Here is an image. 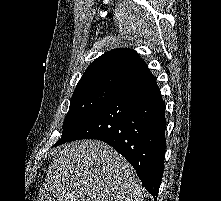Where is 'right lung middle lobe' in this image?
I'll list each match as a JSON object with an SVG mask.
<instances>
[{"mask_svg": "<svg viewBox=\"0 0 221 201\" xmlns=\"http://www.w3.org/2000/svg\"><path fill=\"white\" fill-rule=\"evenodd\" d=\"M119 89L111 87H89L75 90L68 114L63 123L62 138L54 145L65 142L89 117H91Z\"/></svg>", "mask_w": 221, "mask_h": 201, "instance_id": "right-lung-middle-lobe-1", "label": "right lung middle lobe"}]
</instances>
